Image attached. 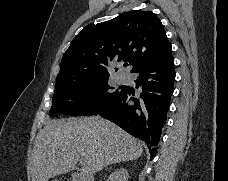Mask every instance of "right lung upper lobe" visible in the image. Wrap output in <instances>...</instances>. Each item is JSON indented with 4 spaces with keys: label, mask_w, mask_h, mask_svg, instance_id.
I'll use <instances>...</instances> for the list:
<instances>
[{
    "label": "right lung upper lobe",
    "mask_w": 228,
    "mask_h": 181,
    "mask_svg": "<svg viewBox=\"0 0 228 181\" xmlns=\"http://www.w3.org/2000/svg\"><path fill=\"white\" fill-rule=\"evenodd\" d=\"M170 47L161 21L151 11L134 10L89 24L65 52L56 86L109 76L106 66L114 58L133 65L134 71Z\"/></svg>",
    "instance_id": "right-lung-upper-lobe-1"
}]
</instances>
